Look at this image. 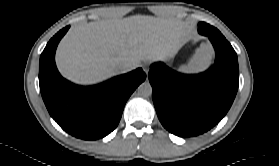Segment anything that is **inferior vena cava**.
<instances>
[{"instance_id": "obj_1", "label": "inferior vena cava", "mask_w": 279, "mask_h": 166, "mask_svg": "<svg viewBox=\"0 0 279 166\" xmlns=\"http://www.w3.org/2000/svg\"><path fill=\"white\" fill-rule=\"evenodd\" d=\"M136 67H138V64L135 62L124 63L119 67V72L126 73V72H129V71L135 69Z\"/></svg>"}]
</instances>
